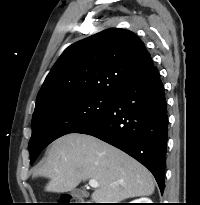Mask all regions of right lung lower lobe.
Masks as SVG:
<instances>
[{
	"label": "right lung lower lobe",
	"instance_id": "98d812e1",
	"mask_svg": "<svg viewBox=\"0 0 200 205\" xmlns=\"http://www.w3.org/2000/svg\"><path fill=\"white\" fill-rule=\"evenodd\" d=\"M167 127L164 86L152 67L113 97L104 116L76 133L97 137L138 160L163 193Z\"/></svg>",
	"mask_w": 200,
	"mask_h": 205
}]
</instances>
